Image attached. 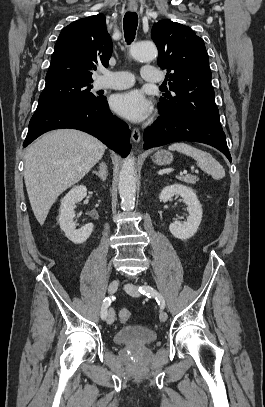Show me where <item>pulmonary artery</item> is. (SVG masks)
I'll list each match as a JSON object with an SVG mask.
<instances>
[{
    "label": "pulmonary artery",
    "instance_id": "pulmonary-artery-1",
    "mask_svg": "<svg viewBox=\"0 0 265 407\" xmlns=\"http://www.w3.org/2000/svg\"><path fill=\"white\" fill-rule=\"evenodd\" d=\"M102 76L96 81L98 89H126L134 84V77L127 71L102 70ZM142 79L148 82L161 83L162 74L154 66L146 65L141 71Z\"/></svg>",
    "mask_w": 265,
    "mask_h": 407
}]
</instances>
